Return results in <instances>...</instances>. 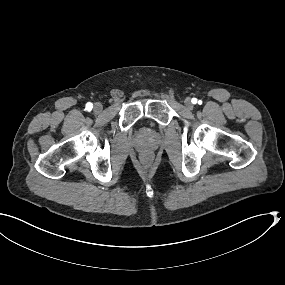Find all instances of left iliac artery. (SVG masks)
Returning a JSON list of instances; mask_svg holds the SVG:
<instances>
[{"label":"left iliac artery","instance_id":"left-iliac-artery-1","mask_svg":"<svg viewBox=\"0 0 285 285\" xmlns=\"http://www.w3.org/2000/svg\"><path fill=\"white\" fill-rule=\"evenodd\" d=\"M195 102H197V99H196V98H193V99H192V103L195 104Z\"/></svg>","mask_w":285,"mask_h":285}]
</instances>
